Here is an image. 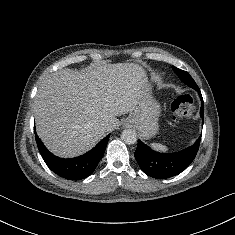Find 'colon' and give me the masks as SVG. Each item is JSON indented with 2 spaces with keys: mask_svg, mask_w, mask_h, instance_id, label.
Masks as SVG:
<instances>
[{
  "mask_svg": "<svg viewBox=\"0 0 235 235\" xmlns=\"http://www.w3.org/2000/svg\"><path fill=\"white\" fill-rule=\"evenodd\" d=\"M171 109L174 121L190 118L194 112L193 98L189 94L181 95L174 100Z\"/></svg>",
  "mask_w": 235,
  "mask_h": 235,
  "instance_id": "colon-1",
  "label": "colon"
}]
</instances>
